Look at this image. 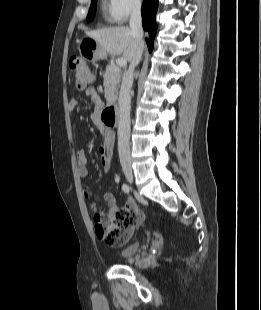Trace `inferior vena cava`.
<instances>
[{
	"mask_svg": "<svg viewBox=\"0 0 261 310\" xmlns=\"http://www.w3.org/2000/svg\"><path fill=\"white\" fill-rule=\"evenodd\" d=\"M130 29L135 37L138 48L134 58L131 60L127 72L123 75L119 93V124H118V152L122 167H130V90L133 84V72L142 58L144 42L141 17V4L136 3L131 12Z\"/></svg>",
	"mask_w": 261,
	"mask_h": 310,
	"instance_id": "1",
	"label": "inferior vena cava"
}]
</instances>
